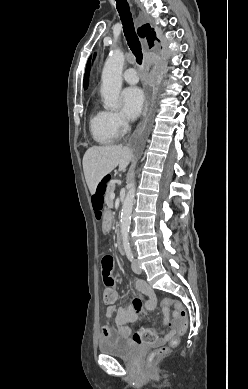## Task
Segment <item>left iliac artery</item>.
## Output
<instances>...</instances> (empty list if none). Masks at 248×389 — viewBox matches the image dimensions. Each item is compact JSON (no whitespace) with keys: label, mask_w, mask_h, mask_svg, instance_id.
<instances>
[{"label":"left iliac artery","mask_w":248,"mask_h":389,"mask_svg":"<svg viewBox=\"0 0 248 389\" xmlns=\"http://www.w3.org/2000/svg\"><path fill=\"white\" fill-rule=\"evenodd\" d=\"M125 253H126L127 258H128L130 261H132V260L134 259L132 250H131V248H130L129 245L125 247Z\"/></svg>","instance_id":"1"}]
</instances>
